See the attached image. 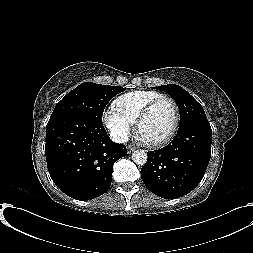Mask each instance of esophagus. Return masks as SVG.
<instances>
[{"mask_svg":"<svg viewBox=\"0 0 253 253\" xmlns=\"http://www.w3.org/2000/svg\"><path fill=\"white\" fill-rule=\"evenodd\" d=\"M136 150V147L135 146H133V145H129L128 146V153L130 154V153H132L133 151H135Z\"/></svg>","mask_w":253,"mask_h":253,"instance_id":"obj_1","label":"esophagus"}]
</instances>
